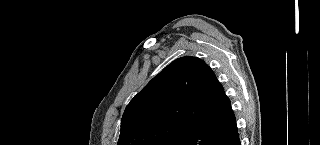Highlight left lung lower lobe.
<instances>
[{
    "label": "left lung lower lobe",
    "mask_w": 320,
    "mask_h": 145,
    "mask_svg": "<svg viewBox=\"0 0 320 145\" xmlns=\"http://www.w3.org/2000/svg\"><path fill=\"white\" fill-rule=\"evenodd\" d=\"M212 107L180 145H240L235 116L223 87L214 75L210 83Z\"/></svg>",
    "instance_id": "0a47b994"
}]
</instances>
